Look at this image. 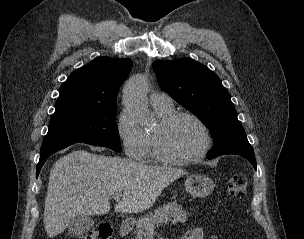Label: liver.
<instances>
[{
	"label": "liver",
	"mask_w": 304,
	"mask_h": 239,
	"mask_svg": "<svg viewBox=\"0 0 304 239\" xmlns=\"http://www.w3.org/2000/svg\"><path fill=\"white\" fill-rule=\"evenodd\" d=\"M185 174L177 168L75 150L57 160L50 171L43 214L47 235L63 233L77 216L107 214L109 197L115 193H123L116 212L145 211L164 188Z\"/></svg>",
	"instance_id": "liver-1"
}]
</instances>
